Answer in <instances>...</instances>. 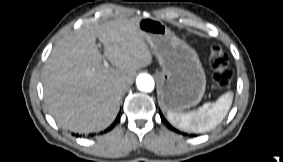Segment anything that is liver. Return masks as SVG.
I'll list each match as a JSON object with an SVG mask.
<instances>
[{
  "label": "liver",
  "mask_w": 283,
  "mask_h": 162,
  "mask_svg": "<svg viewBox=\"0 0 283 162\" xmlns=\"http://www.w3.org/2000/svg\"><path fill=\"white\" fill-rule=\"evenodd\" d=\"M137 21L118 18L88 25L54 45L43 67L42 82L46 107L60 127L91 133L115 120L124 89L133 83L138 69L152 62ZM97 38L115 68L101 64Z\"/></svg>",
  "instance_id": "liver-1"
}]
</instances>
